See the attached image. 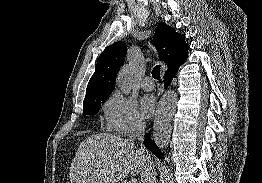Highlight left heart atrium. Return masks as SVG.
<instances>
[{"label": "left heart atrium", "mask_w": 262, "mask_h": 183, "mask_svg": "<svg viewBox=\"0 0 262 183\" xmlns=\"http://www.w3.org/2000/svg\"><path fill=\"white\" fill-rule=\"evenodd\" d=\"M141 112L145 117H151L156 108V100L151 95H145L141 100Z\"/></svg>", "instance_id": "1"}]
</instances>
